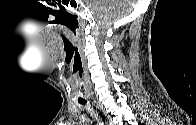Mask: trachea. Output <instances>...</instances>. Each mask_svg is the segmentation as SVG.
Listing matches in <instances>:
<instances>
[{"instance_id":"trachea-1","label":"trachea","mask_w":196,"mask_h":125,"mask_svg":"<svg viewBox=\"0 0 196 125\" xmlns=\"http://www.w3.org/2000/svg\"><path fill=\"white\" fill-rule=\"evenodd\" d=\"M80 104L85 105L86 104V100H79L78 101Z\"/></svg>"}]
</instances>
